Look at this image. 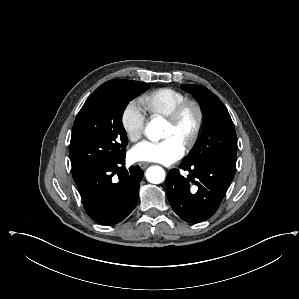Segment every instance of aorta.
Wrapping results in <instances>:
<instances>
[{
  "instance_id": "obj_1",
  "label": "aorta",
  "mask_w": 299,
  "mask_h": 299,
  "mask_svg": "<svg viewBox=\"0 0 299 299\" xmlns=\"http://www.w3.org/2000/svg\"><path fill=\"white\" fill-rule=\"evenodd\" d=\"M165 120L162 117L153 118L146 127V135L151 141L163 138ZM146 179L153 184H160L165 180V171L160 166H151L146 171Z\"/></svg>"
}]
</instances>
